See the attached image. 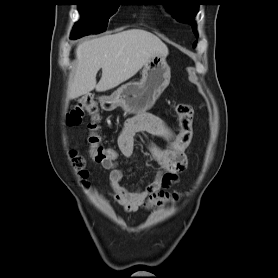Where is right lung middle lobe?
I'll return each mask as SVG.
<instances>
[{
  "mask_svg": "<svg viewBox=\"0 0 278 278\" xmlns=\"http://www.w3.org/2000/svg\"><path fill=\"white\" fill-rule=\"evenodd\" d=\"M121 0H76L82 18L77 22L71 34L78 39L90 33L104 32L109 18L117 11Z\"/></svg>",
  "mask_w": 278,
  "mask_h": 278,
  "instance_id": "1",
  "label": "right lung middle lobe"
}]
</instances>
